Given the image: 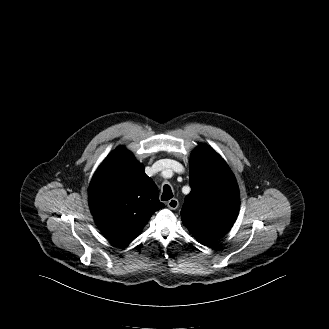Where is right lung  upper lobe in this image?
<instances>
[{"label":"right lung upper lobe","mask_w":329,"mask_h":329,"mask_svg":"<svg viewBox=\"0 0 329 329\" xmlns=\"http://www.w3.org/2000/svg\"><path fill=\"white\" fill-rule=\"evenodd\" d=\"M88 195L98 228L120 246L131 243L151 215L164 207L144 166L122 147L112 151L98 167Z\"/></svg>","instance_id":"1"}]
</instances>
